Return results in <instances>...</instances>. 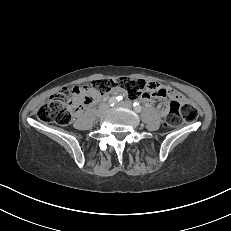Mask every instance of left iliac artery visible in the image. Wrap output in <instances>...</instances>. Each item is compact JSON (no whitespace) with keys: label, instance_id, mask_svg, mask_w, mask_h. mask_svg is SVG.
<instances>
[{"label":"left iliac artery","instance_id":"44dca946","mask_svg":"<svg viewBox=\"0 0 231 231\" xmlns=\"http://www.w3.org/2000/svg\"><path fill=\"white\" fill-rule=\"evenodd\" d=\"M133 106H134V109H135L136 112H138V113L141 112L142 107H141V105L139 103L134 102Z\"/></svg>","mask_w":231,"mask_h":231}]
</instances>
